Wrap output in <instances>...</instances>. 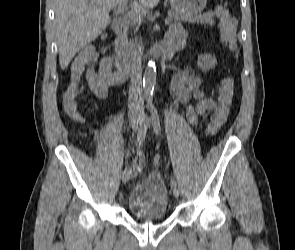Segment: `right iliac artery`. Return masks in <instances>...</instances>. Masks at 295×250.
<instances>
[{"mask_svg":"<svg viewBox=\"0 0 295 250\" xmlns=\"http://www.w3.org/2000/svg\"><path fill=\"white\" fill-rule=\"evenodd\" d=\"M145 129V125L143 127ZM139 129L137 132H136V135H137V142L135 144V147L136 148H141L142 147V144H141V141L143 140L144 138V135H145V130L144 129ZM124 173H131V168L129 166L125 167L124 169Z\"/></svg>","mask_w":295,"mask_h":250,"instance_id":"obj_1","label":"right iliac artery"}]
</instances>
